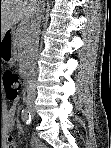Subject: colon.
I'll use <instances>...</instances> for the list:
<instances>
[{"label": "colon", "instance_id": "obj_1", "mask_svg": "<svg viewBox=\"0 0 111 148\" xmlns=\"http://www.w3.org/2000/svg\"><path fill=\"white\" fill-rule=\"evenodd\" d=\"M0 80L5 88L6 97L9 100H16L20 93L19 79L16 73L6 70L0 73Z\"/></svg>", "mask_w": 111, "mask_h": 148}]
</instances>
